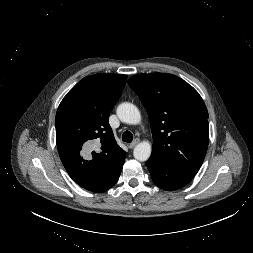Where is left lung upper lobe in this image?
<instances>
[{
	"label": "left lung upper lobe",
	"instance_id": "5c2ea615",
	"mask_svg": "<svg viewBox=\"0 0 253 253\" xmlns=\"http://www.w3.org/2000/svg\"><path fill=\"white\" fill-rule=\"evenodd\" d=\"M128 84L149 116L154 139L151 157L195 175L209 142L208 111L199 93L173 74H138Z\"/></svg>",
	"mask_w": 253,
	"mask_h": 253
}]
</instances>
